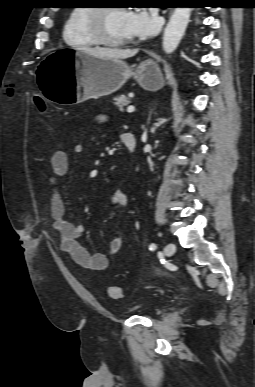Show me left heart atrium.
Instances as JSON below:
<instances>
[{
    "label": "left heart atrium",
    "mask_w": 255,
    "mask_h": 387,
    "mask_svg": "<svg viewBox=\"0 0 255 387\" xmlns=\"http://www.w3.org/2000/svg\"><path fill=\"white\" fill-rule=\"evenodd\" d=\"M126 29L129 37L146 38L153 36L159 29L158 18L145 10L128 11L126 13Z\"/></svg>",
    "instance_id": "obj_1"
}]
</instances>
